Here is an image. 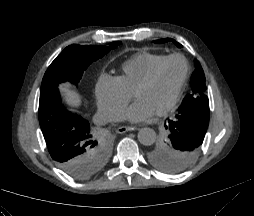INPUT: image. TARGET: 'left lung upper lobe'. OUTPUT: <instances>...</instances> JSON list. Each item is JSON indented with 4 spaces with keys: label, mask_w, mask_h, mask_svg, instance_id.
I'll return each mask as SVG.
<instances>
[{
    "label": "left lung upper lobe",
    "mask_w": 254,
    "mask_h": 216,
    "mask_svg": "<svg viewBox=\"0 0 254 216\" xmlns=\"http://www.w3.org/2000/svg\"><path fill=\"white\" fill-rule=\"evenodd\" d=\"M173 41L170 38L154 43ZM196 70L191 77V93L183 99L179 114L165 125L168 136L148 152L149 161L159 170L176 174L186 170L198 156L209 124V101L203 69L195 60Z\"/></svg>",
    "instance_id": "obj_1"
}]
</instances>
